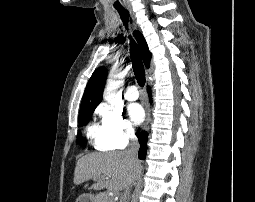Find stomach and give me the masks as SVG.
<instances>
[{
	"mask_svg": "<svg viewBox=\"0 0 255 202\" xmlns=\"http://www.w3.org/2000/svg\"><path fill=\"white\" fill-rule=\"evenodd\" d=\"M76 202H95V198L91 195H81L77 198Z\"/></svg>",
	"mask_w": 255,
	"mask_h": 202,
	"instance_id": "stomach-1",
	"label": "stomach"
}]
</instances>
